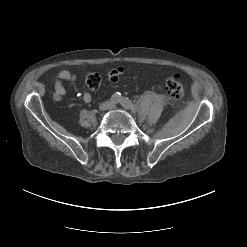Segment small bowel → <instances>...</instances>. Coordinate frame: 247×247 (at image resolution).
Returning a JSON list of instances; mask_svg holds the SVG:
<instances>
[{
  "mask_svg": "<svg viewBox=\"0 0 247 247\" xmlns=\"http://www.w3.org/2000/svg\"><path fill=\"white\" fill-rule=\"evenodd\" d=\"M114 72V73H112ZM123 68H115L112 69L111 72L108 73V77L111 81H117L119 77L123 74ZM77 76L71 73L68 70H61L57 73L54 81V99L56 101H61L63 97L66 95V88L64 86L65 81H75ZM82 99L84 102L88 103L92 100V96L89 92H83Z\"/></svg>",
  "mask_w": 247,
  "mask_h": 247,
  "instance_id": "obj_1",
  "label": "small bowel"
}]
</instances>
